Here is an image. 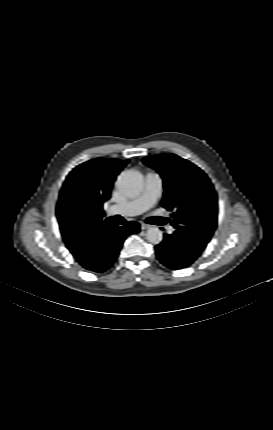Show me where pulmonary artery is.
<instances>
[{
	"mask_svg": "<svg viewBox=\"0 0 273 430\" xmlns=\"http://www.w3.org/2000/svg\"><path fill=\"white\" fill-rule=\"evenodd\" d=\"M162 178L158 173L150 172L145 178V188L138 197L124 202L112 205L109 208L111 214H121L123 216H135L141 214L152 207L161 195ZM173 227L168 228V232L172 233Z\"/></svg>",
	"mask_w": 273,
	"mask_h": 430,
	"instance_id": "obj_1",
	"label": "pulmonary artery"
}]
</instances>
